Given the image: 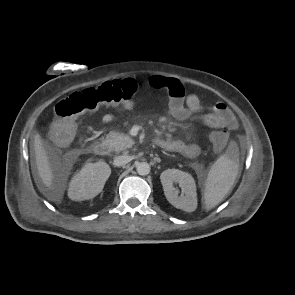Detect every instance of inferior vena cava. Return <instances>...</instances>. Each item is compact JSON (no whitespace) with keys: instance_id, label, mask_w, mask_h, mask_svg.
<instances>
[{"instance_id":"obj_1","label":"inferior vena cava","mask_w":295,"mask_h":295,"mask_svg":"<svg viewBox=\"0 0 295 295\" xmlns=\"http://www.w3.org/2000/svg\"><path fill=\"white\" fill-rule=\"evenodd\" d=\"M132 160L131 156L120 155L114 158V165L117 167L124 166Z\"/></svg>"}]
</instances>
